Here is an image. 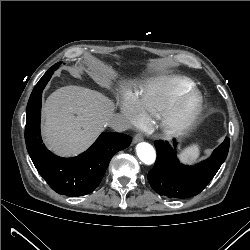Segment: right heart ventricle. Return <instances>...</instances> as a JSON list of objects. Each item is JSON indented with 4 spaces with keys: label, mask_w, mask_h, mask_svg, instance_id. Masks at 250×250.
<instances>
[{
    "label": "right heart ventricle",
    "mask_w": 250,
    "mask_h": 250,
    "mask_svg": "<svg viewBox=\"0 0 250 250\" xmlns=\"http://www.w3.org/2000/svg\"><path fill=\"white\" fill-rule=\"evenodd\" d=\"M192 86L193 80L180 75L162 76L147 81L136 95L145 122L161 116L183 91Z\"/></svg>",
    "instance_id": "right-heart-ventricle-1"
}]
</instances>
